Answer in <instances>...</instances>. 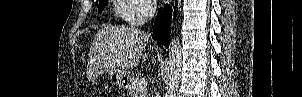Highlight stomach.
Wrapping results in <instances>:
<instances>
[{"instance_id":"0dacf381","label":"stomach","mask_w":302,"mask_h":97,"mask_svg":"<svg viewBox=\"0 0 302 97\" xmlns=\"http://www.w3.org/2000/svg\"><path fill=\"white\" fill-rule=\"evenodd\" d=\"M108 79L113 86L125 88L130 77L127 71L113 70L109 72Z\"/></svg>"}]
</instances>
